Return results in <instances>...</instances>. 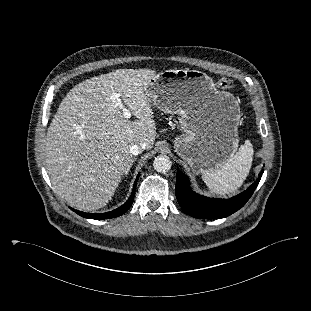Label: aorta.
Wrapping results in <instances>:
<instances>
[{"mask_svg": "<svg viewBox=\"0 0 311 311\" xmlns=\"http://www.w3.org/2000/svg\"><path fill=\"white\" fill-rule=\"evenodd\" d=\"M153 167L157 172L165 173L171 168V161L166 155H159L155 157Z\"/></svg>", "mask_w": 311, "mask_h": 311, "instance_id": "aorta-1", "label": "aorta"}]
</instances>
